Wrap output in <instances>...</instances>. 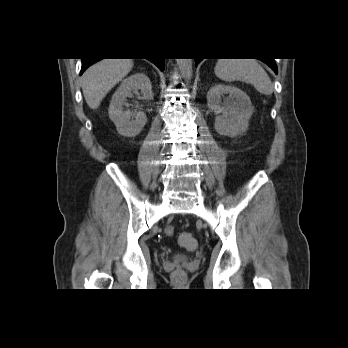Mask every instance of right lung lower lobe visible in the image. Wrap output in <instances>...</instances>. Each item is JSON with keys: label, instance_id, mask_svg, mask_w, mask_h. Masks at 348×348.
<instances>
[{"label": "right lung lower lobe", "instance_id": "right-lung-lower-lobe-1", "mask_svg": "<svg viewBox=\"0 0 348 348\" xmlns=\"http://www.w3.org/2000/svg\"><path fill=\"white\" fill-rule=\"evenodd\" d=\"M100 59H94V58H85L82 59V68H81V72L80 75L83 74V72L93 63L97 62ZM150 61H152L160 70H164V59H149Z\"/></svg>", "mask_w": 348, "mask_h": 348}]
</instances>
